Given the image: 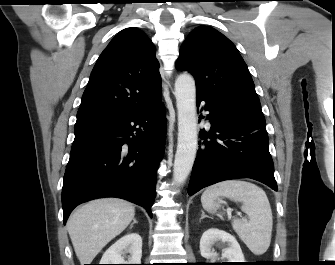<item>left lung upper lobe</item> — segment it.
<instances>
[{"instance_id":"obj_1","label":"left lung upper lobe","mask_w":335,"mask_h":265,"mask_svg":"<svg viewBox=\"0 0 335 265\" xmlns=\"http://www.w3.org/2000/svg\"><path fill=\"white\" fill-rule=\"evenodd\" d=\"M176 68L194 76L196 94L266 125L247 65L235 45L217 30L195 28L180 50Z\"/></svg>"}]
</instances>
